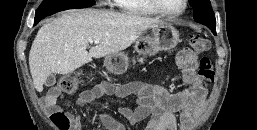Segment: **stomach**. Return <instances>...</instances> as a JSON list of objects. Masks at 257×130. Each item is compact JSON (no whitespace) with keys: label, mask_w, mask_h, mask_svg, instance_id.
Segmentation results:
<instances>
[{"label":"stomach","mask_w":257,"mask_h":130,"mask_svg":"<svg viewBox=\"0 0 257 130\" xmlns=\"http://www.w3.org/2000/svg\"><path fill=\"white\" fill-rule=\"evenodd\" d=\"M179 32L169 22L151 27V35L142 48L136 50L142 55H155L159 51H170L179 43ZM138 46V43L136 44ZM128 57L123 52L109 54L104 58V67L113 74H123L127 70Z\"/></svg>","instance_id":"obj_1"}]
</instances>
